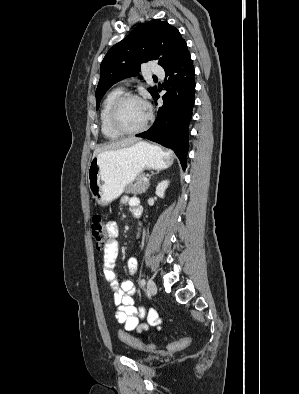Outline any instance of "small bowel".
Instances as JSON below:
<instances>
[{"label": "small bowel", "mask_w": 299, "mask_h": 394, "mask_svg": "<svg viewBox=\"0 0 299 394\" xmlns=\"http://www.w3.org/2000/svg\"><path fill=\"white\" fill-rule=\"evenodd\" d=\"M120 203L128 205L134 217H140L142 207L139 200L135 197L123 196ZM109 235L108 243L103 254V273L108 281L111 290L114 292L113 303L116 307L115 317L119 324L124 325L128 332L147 331L151 327L160 328L161 318L155 308L146 309L143 306H136L134 296L137 292L134 283L131 280L119 281L115 272L116 259L118 256V225L115 221H109L106 224ZM130 274L137 270V259L131 257L127 262Z\"/></svg>", "instance_id": "small-bowel-1"}]
</instances>
